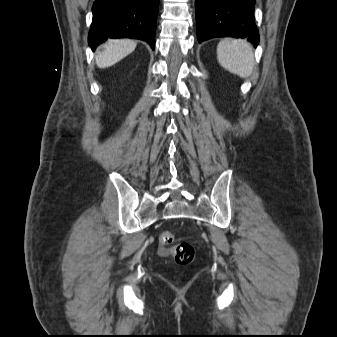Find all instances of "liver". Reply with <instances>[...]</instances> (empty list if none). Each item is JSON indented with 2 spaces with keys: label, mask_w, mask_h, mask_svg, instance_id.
Returning a JSON list of instances; mask_svg holds the SVG:
<instances>
[{
  "label": "liver",
  "mask_w": 337,
  "mask_h": 337,
  "mask_svg": "<svg viewBox=\"0 0 337 337\" xmlns=\"http://www.w3.org/2000/svg\"><path fill=\"white\" fill-rule=\"evenodd\" d=\"M137 43L130 39H113L103 45V50L96 58L99 68H106L114 65L136 48Z\"/></svg>",
  "instance_id": "6515ba94"
}]
</instances>
